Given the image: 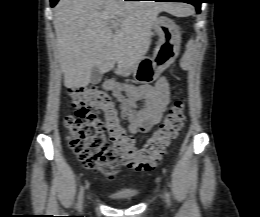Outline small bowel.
I'll list each match as a JSON object with an SVG mask.
<instances>
[{
  "label": "small bowel",
  "instance_id": "c3829d8e",
  "mask_svg": "<svg viewBox=\"0 0 260 217\" xmlns=\"http://www.w3.org/2000/svg\"><path fill=\"white\" fill-rule=\"evenodd\" d=\"M103 88L118 100L121 117L128 122V129L134 134L148 132L160 122L173 93L167 77H161L154 85L139 86L107 80Z\"/></svg>",
  "mask_w": 260,
  "mask_h": 217
}]
</instances>
